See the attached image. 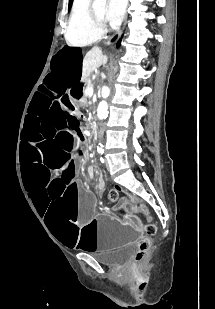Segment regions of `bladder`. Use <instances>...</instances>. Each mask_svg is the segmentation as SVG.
Segmentation results:
<instances>
[{
    "mask_svg": "<svg viewBox=\"0 0 215 309\" xmlns=\"http://www.w3.org/2000/svg\"><path fill=\"white\" fill-rule=\"evenodd\" d=\"M136 251L134 246L128 245L112 253L97 255L96 259L102 265L118 268L129 263L136 254Z\"/></svg>",
    "mask_w": 215,
    "mask_h": 309,
    "instance_id": "obj_1",
    "label": "bladder"
}]
</instances>
